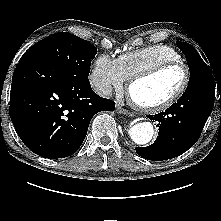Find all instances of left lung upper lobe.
Listing matches in <instances>:
<instances>
[{"instance_id":"1","label":"left lung upper lobe","mask_w":221,"mask_h":221,"mask_svg":"<svg viewBox=\"0 0 221 221\" xmlns=\"http://www.w3.org/2000/svg\"><path fill=\"white\" fill-rule=\"evenodd\" d=\"M176 44L185 54L190 70V80L187 89L214 80L210 69L193 46L181 41H177Z\"/></svg>"}]
</instances>
